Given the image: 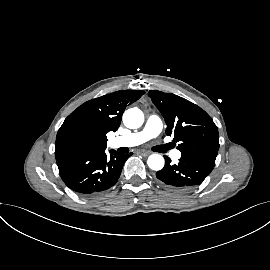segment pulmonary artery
<instances>
[{"instance_id": "e3ab8cb5", "label": "pulmonary artery", "mask_w": 270, "mask_h": 270, "mask_svg": "<svg viewBox=\"0 0 270 270\" xmlns=\"http://www.w3.org/2000/svg\"><path fill=\"white\" fill-rule=\"evenodd\" d=\"M162 127L161 119L157 115H150L141 131L115 137L110 141V145L112 147H132L140 145L149 139L157 137L161 133ZM180 156L181 153L177 150L172 153L174 159H179Z\"/></svg>"}]
</instances>
